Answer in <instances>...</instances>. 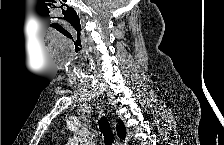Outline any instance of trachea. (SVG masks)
I'll return each mask as SVG.
<instances>
[{
	"label": "trachea",
	"instance_id": "trachea-1",
	"mask_svg": "<svg viewBox=\"0 0 224 145\" xmlns=\"http://www.w3.org/2000/svg\"><path fill=\"white\" fill-rule=\"evenodd\" d=\"M99 128L103 133L105 145H112L114 142V136L109 121L104 116H102L99 120Z\"/></svg>",
	"mask_w": 224,
	"mask_h": 145
}]
</instances>
